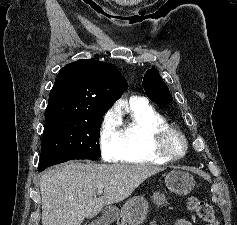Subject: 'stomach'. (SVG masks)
Segmentation results:
<instances>
[{"label": "stomach", "instance_id": "1", "mask_svg": "<svg viewBox=\"0 0 237 225\" xmlns=\"http://www.w3.org/2000/svg\"><path fill=\"white\" fill-rule=\"evenodd\" d=\"M165 184L171 192L186 195L193 190L195 180L188 172L172 170L166 175ZM153 200L158 205L165 203L164 195L159 192L154 193ZM147 210L146 199L142 196H134L124 203L120 215L128 225H140L146 218Z\"/></svg>", "mask_w": 237, "mask_h": 225}]
</instances>
